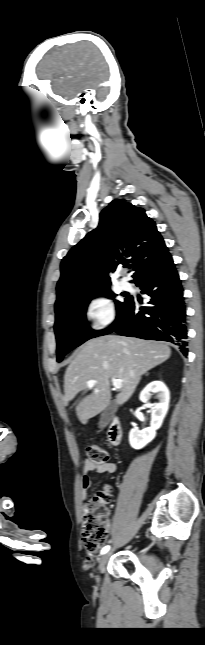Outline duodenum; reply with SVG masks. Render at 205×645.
Segmentation results:
<instances>
[{
    "instance_id": "obj_1",
    "label": "duodenum",
    "mask_w": 205,
    "mask_h": 645,
    "mask_svg": "<svg viewBox=\"0 0 205 645\" xmlns=\"http://www.w3.org/2000/svg\"><path fill=\"white\" fill-rule=\"evenodd\" d=\"M108 441L112 445H118L122 439V427L120 421L114 418L108 428L107 433Z\"/></svg>"
}]
</instances>
